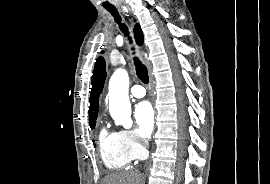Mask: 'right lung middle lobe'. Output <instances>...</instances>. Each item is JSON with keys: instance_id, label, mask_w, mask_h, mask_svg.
<instances>
[{"instance_id": "obj_1", "label": "right lung middle lobe", "mask_w": 270, "mask_h": 184, "mask_svg": "<svg viewBox=\"0 0 270 184\" xmlns=\"http://www.w3.org/2000/svg\"><path fill=\"white\" fill-rule=\"evenodd\" d=\"M95 123H96V121L89 122L90 127H91V128H94V127H95Z\"/></svg>"}]
</instances>
